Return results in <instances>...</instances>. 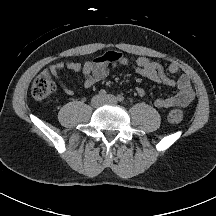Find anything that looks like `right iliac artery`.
Instances as JSON below:
<instances>
[{
	"label": "right iliac artery",
	"mask_w": 216,
	"mask_h": 216,
	"mask_svg": "<svg viewBox=\"0 0 216 216\" xmlns=\"http://www.w3.org/2000/svg\"><path fill=\"white\" fill-rule=\"evenodd\" d=\"M106 94H107V92H106V90H104V89H102V90L99 91V95H100L101 97L106 96Z\"/></svg>",
	"instance_id": "1"
}]
</instances>
